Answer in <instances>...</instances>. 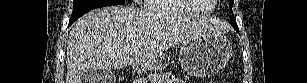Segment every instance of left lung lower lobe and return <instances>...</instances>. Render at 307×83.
I'll list each match as a JSON object with an SVG mask.
<instances>
[{"label": "left lung lower lobe", "instance_id": "0a47b994", "mask_svg": "<svg viewBox=\"0 0 307 83\" xmlns=\"http://www.w3.org/2000/svg\"><path fill=\"white\" fill-rule=\"evenodd\" d=\"M234 29H235L236 31H238V29H236L235 27H234Z\"/></svg>", "mask_w": 307, "mask_h": 83}]
</instances>
